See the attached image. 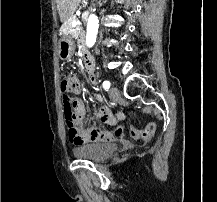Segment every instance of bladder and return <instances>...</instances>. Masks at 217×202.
I'll list each match as a JSON object with an SVG mask.
<instances>
[{
	"instance_id": "bladder-1",
	"label": "bladder",
	"mask_w": 217,
	"mask_h": 202,
	"mask_svg": "<svg viewBox=\"0 0 217 202\" xmlns=\"http://www.w3.org/2000/svg\"><path fill=\"white\" fill-rule=\"evenodd\" d=\"M115 150L116 143L103 141L100 143L86 144L83 148H76L74 155L79 158L90 159L93 162H102L106 157L112 155Z\"/></svg>"
}]
</instances>
